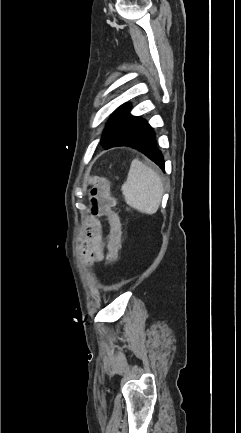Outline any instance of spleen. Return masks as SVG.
<instances>
[{
  "mask_svg": "<svg viewBox=\"0 0 241 433\" xmlns=\"http://www.w3.org/2000/svg\"><path fill=\"white\" fill-rule=\"evenodd\" d=\"M121 189L130 207L148 215L157 212L163 195L162 180L156 171L139 159L132 161Z\"/></svg>",
  "mask_w": 241,
  "mask_h": 433,
  "instance_id": "3e777b00",
  "label": "spleen"
}]
</instances>
